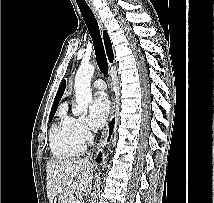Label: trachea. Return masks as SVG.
<instances>
[{"label": "trachea", "instance_id": "obj_1", "mask_svg": "<svg viewBox=\"0 0 214 203\" xmlns=\"http://www.w3.org/2000/svg\"><path fill=\"white\" fill-rule=\"evenodd\" d=\"M77 4L80 9L81 15L85 21V24L88 28L90 36L92 38L99 69L104 76L108 77V63H107L98 23L95 19V16L92 10L86 3L85 4L77 3Z\"/></svg>", "mask_w": 214, "mask_h": 203}]
</instances>
